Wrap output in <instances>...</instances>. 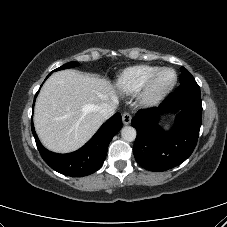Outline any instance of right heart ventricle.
Segmentation results:
<instances>
[{"label": "right heart ventricle", "mask_w": 227, "mask_h": 227, "mask_svg": "<svg viewBox=\"0 0 227 227\" xmlns=\"http://www.w3.org/2000/svg\"><path fill=\"white\" fill-rule=\"evenodd\" d=\"M158 69L159 67L151 65H136L126 68L116 78L115 86L124 94L137 93Z\"/></svg>", "instance_id": "1"}]
</instances>
